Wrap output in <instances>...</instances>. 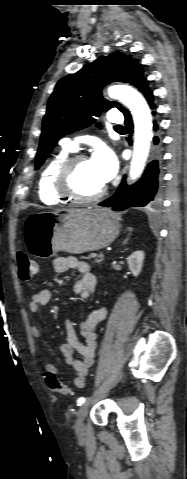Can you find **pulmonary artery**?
I'll return each mask as SVG.
<instances>
[{
	"mask_svg": "<svg viewBox=\"0 0 187 479\" xmlns=\"http://www.w3.org/2000/svg\"><path fill=\"white\" fill-rule=\"evenodd\" d=\"M108 121L110 124L114 125L115 127L121 126L123 122L122 114L118 110L112 109L110 110L108 114ZM60 143L62 146L70 150H75L77 148V142L70 138H62Z\"/></svg>",
	"mask_w": 187,
	"mask_h": 479,
	"instance_id": "e3ab8cb5",
	"label": "pulmonary artery"
}]
</instances>
